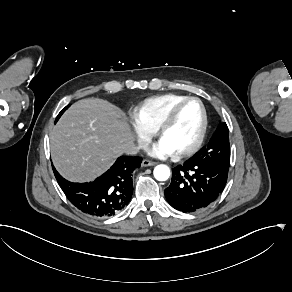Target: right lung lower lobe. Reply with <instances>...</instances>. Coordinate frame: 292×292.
<instances>
[{
  "label": "right lung lower lobe",
  "instance_id": "1",
  "mask_svg": "<svg viewBox=\"0 0 292 292\" xmlns=\"http://www.w3.org/2000/svg\"><path fill=\"white\" fill-rule=\"evenodd\" d=\"M141 162V157H119L107 172L89 183L70 182L52 168L59 186L75 207L93 217H109L130 202L131 175Z\"/></svg>",
  "mask_w": 292,
  "mask_h": 292
}]
</instances>
